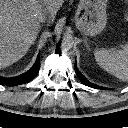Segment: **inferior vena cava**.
Returning a JSON list of instances; mask_svg holds the SVG:
<instances>
[{"instance_id": "1", "label": "inferior vena cava", "mask_w": 128, "mask_h": 128, "mask_svg": "<svg viewBox=\"0 0 128 128\" xmlns=\"http://www.w3.org/2000/svg\"><path fill=\"white\" fill-rule=\"evenodd\" d=\"M38 20H39L40 22H45L46 20H48V17H47L46 14L40 13L39 16H38Z\"/></svg>"}]
</instances>
